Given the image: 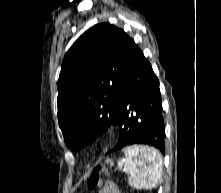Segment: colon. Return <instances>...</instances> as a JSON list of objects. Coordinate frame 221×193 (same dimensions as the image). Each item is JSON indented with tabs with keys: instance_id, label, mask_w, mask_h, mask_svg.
I'll list each match as a JSON object with an SVG mask.
<instances>
[{
	"instance_id": "5ec220e1",
	"label": "colon",
	"mask_w": 221,
	"mask_h": 193,
	"mask_svg": "<svg viewBox=\"0 0 221 193\" xmlns=\"http://www.w3.org/2000/svg\"><path fill=\"white\" fill-rule=\"evenodd\" d=\"M107 174L106 169L102 165L96 166L87 179V188L90 191L96 190L101 184V176Z\"/></svg>"
}]
</instances>
